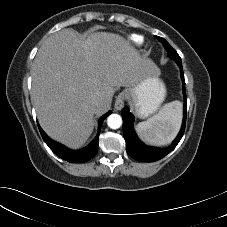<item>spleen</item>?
I'll return each instance as SVG.
<instances>
[{
  "mask_svg": "<svg viewBox=\"0 0 227 227\" xmlns=\"http://www.w3.org/2000/svg\"><path fill=\"white\" fill-rule=\"evenodd\" d=\"M182 120V104L173 101L160 111L136 126L139 136L149 144L168 145L179 131Z\"/></svg>",
  "mask_w": 227,
  "mask_h": 227,
  "instance_id": "3e777b00",
  "label": "spleen"
}]
</instances>
